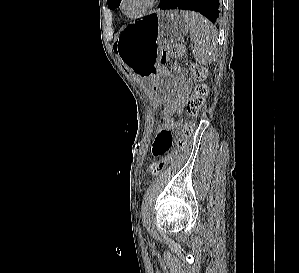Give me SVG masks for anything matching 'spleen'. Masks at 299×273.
<instances>
[{
	"mask_svg": "<svg viewBox=\"0 0 299 273\" xmlns=\"http://www.w3.org/2000/svg\"><path fill=\"white\" fill-rule=\"evenodd\" d=\"M182 14L194 44L192 54L195 60L202 65L212 63L216 58L218 43L215 26L198 13L183 11Z\"/></svg>",
	"mask_w": 299,
	"mask_h": 273,
	"instance_id": "spleen-1",
	"label": "spleen"
}]
</instances>
